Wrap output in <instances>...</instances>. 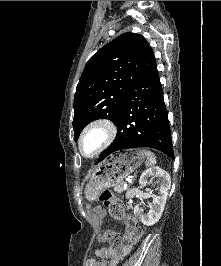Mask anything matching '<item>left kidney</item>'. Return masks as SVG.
Masks as SVG:
<instances>
[{
    "mask_svg": "<svg viewBox=\"0 0 221 266\" xmlns=\"http://www.w3.org/2000/svg\"><path fill=\"white\" fill-rule=\"evenodd\" d=\"M151 177L150 181L148 179ZM157 178L160 186L158 187L159 196H153V203L148 213H144L142 203L136 205L134 213L139 217L141 222L146 226H152L157 223L162 215L167 200L168 192L171 186V179L168 172L160 167L146 169L140 176L139 183L141 186L150 184L153 179ZM149 191V189H148ZM141 199L146 198V193H139Z\"/></svg>",
    "mask_w": 221,
    "mask_h": 266,
    "instance_id": "5707ae66",
    "label": "left kidney"
}]
</instances>
